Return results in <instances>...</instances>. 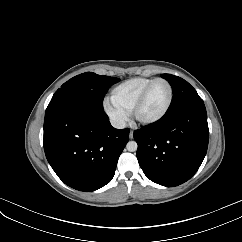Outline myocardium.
Segmentation results:
<instances>
[{
	"mask_svg": "<svg viewBox=\"0 0 242 242\" xmlns=\"http://www.w3.org/2000/svg\"><path fill=\"white\" fill-rule=\"evenodd\" d=\"M157 82H164L167 84L168 88H169V99L168 102L165 106V108L163 109V111L156 117L152 118V119H141L138 117V111L141 108V106L143 105L150 89L153 87L154 84H156ZM173 98H174V91H173V87L171 85V83L165 79V78H156L154 80H152L141 92V94L139 95V97L137 98V100L135 101L132 109H131V116L133 119V122L142 126H151L154 125L158 122H160L169 112L172 103H173Z\"/></svg>",
	"mask_w": 242,
	"mask_h": 242,
	"instance_id": "myocardium-1",
	"label": "myocardium"
}]
</instances>
